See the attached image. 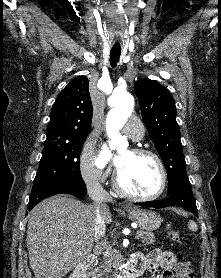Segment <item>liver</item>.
Returning a JSON list of instances; mask_svg holds the SVG:
<instances>
[{
  "mask_svg": "<svg viewBox=\"0 0 221 278\" xmlns=\"http://www.w3.org/2000/svg\"><path fill=\"white\" fill-rule=\"evenodd\" d=\"M96 204L68 195L50 197L29 214L27 249L35 278H62L91 252L95 240ZM105 223L112 222L107 205Z\"/></svg>",
  "mask_w": 221,
  "mask_h": 278,
  "instance_id": "6515ba94",
  "label": "liver"
}]
</instances>
